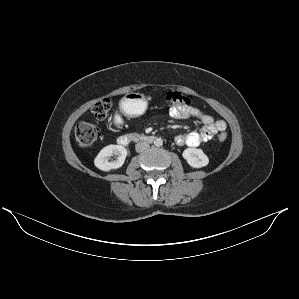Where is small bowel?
I'll return each instance as SVG.
<instances>
[{"instance_id": "small-bowel-1", "label": "small bowel", "mask_w": 299, "mask_h": 299, "mask_svg": "<svg viewBox=\"0 0 299 299\" xmlns=\"http://www.w3.org/2000/svg\"><path fill=\"white\" fill-rule=\"evenodd\" d=\"M169 114L175 119L196 118L203 124L200 131L177 136L175 142L178 146L197 147L212 139L218 132H224L227 127L224 120H214L210 115L189 105L171 107Z\"/></svg>"}]
</instances>
